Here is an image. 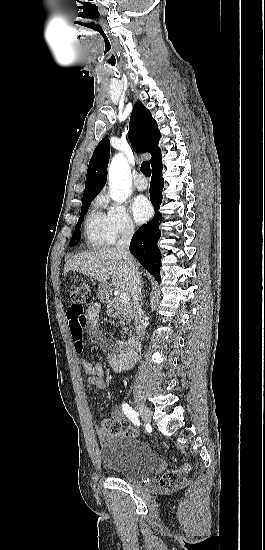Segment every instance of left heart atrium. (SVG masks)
Masks as SVG:
<instances>
[{
  "instance_id": "obj_1",
  "label": "left heart atrium",
  "mask_w": 265,
  "mask_h": 550,
  "mask_svg": "<svg viewBox=\"0 0 265 550\" xmlns=\"http://www.w3.org/2000/svg\"><path fill=\"white\" fill-rule=\"evenodd\" d=\"M132 213L138 223L145 222L152 213V208L144 196H138L132 203Z\"/></svg>"
}]
</instances>
